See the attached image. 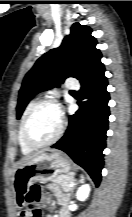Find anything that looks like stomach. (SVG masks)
Listing matches in <instances>:
<instances>
[{
	"label": "stomach",
	"instance_id": "stomach-1",
	"mask_svg": "<svg viewBox=\"0 0 132 217\" xmlns=\"http://www.w3.org/2000/svg\"><path fill=\"white\" fill-rule=\"evenodd\" d=\"M72 169L71 160L63 152L42 153L15 170L13 183L18 188L28 187L36 181H51L60 174H70Z\"/></svg>",
	"mask_w": 132,
	"mask_h": 217
}]
</instances>
